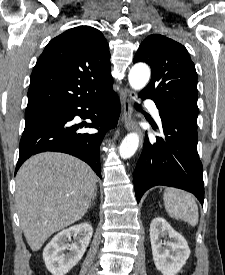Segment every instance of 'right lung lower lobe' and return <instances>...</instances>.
<instances>
[{
	"mask_svg": "<svg viewBox=\"0 0 225 275\" xmlns=\"http://www.w3.org/2000/svg\"><path fill=\"white\" fill-rule=\"evenodd\" d=\"M89 109L88 111L86 109ZM89 115L97 134L80 133L83 125L72 124L75 116ZM120 104L112 86L102 94L81 102H68L25 113V129L15 172L30 156L45 151L63 152L80 158L101 177L100 144L104 133L115 127Z\"/></svg>",
	"mask_w": 225,
	"mask_h": 275,
	"instance_id": "1",
	"label": "right lung lower lobe"
}]
</instances>
